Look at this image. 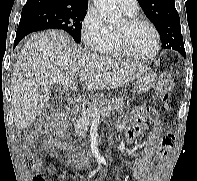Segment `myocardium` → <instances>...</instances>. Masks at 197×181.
Wrapping results in <instances>:
<instances>
[{"label":"myocardium","instance_id":"myocardium-1","mask_svg":"<svg viewBox=\"0 0 197 181\" xmlns=\"http://www.w3.org/2000/svg\"><path fill=\"white\" fill-rule=\"evenodd\" d=\"M125 24L127 28L134 27L139 24L147 25L153 32L155 36V47L153 51L148 55H138L132 52L127 44L126 37L122 32L115 30V41L119 51L126 57L139 60V61H148L154 59L161 49V39L160 34L156 26L149 20L139 17L136 15L128 16L125 19Z\"/></svg>","mask_w":197,"mask_h":181}]
</instances>
